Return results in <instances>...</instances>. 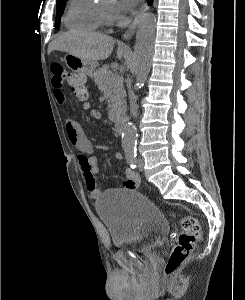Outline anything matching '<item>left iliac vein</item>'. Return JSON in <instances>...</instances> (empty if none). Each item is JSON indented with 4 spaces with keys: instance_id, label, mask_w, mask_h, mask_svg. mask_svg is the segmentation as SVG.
<instances>
[{
    "instance_id": "4c4485c4",
    "label": "left iliac vein",
    "mask_w": 245,
    "mask_h": 300,
    "mask_svg": "<svg viewBox=\"0 0 245 300\" xmlns=\"http://www.w3.org/2000/svg\"><path fill=\"white\" fill-rule=\"evenodd\" d=\"M137 163H138V169H139L140 171H142L143 168H144V159L141 158V157H139Z\"/></svg>"
}]
</instances>
